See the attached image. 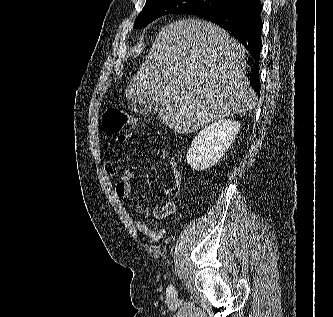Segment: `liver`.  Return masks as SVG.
I'll list each match as a JSON object with an SVG mask.
<instances>
[{"mask_svg": "<svg viewBox=\"0 0 333 317\" xmlns=\"http://www.w3.org/2000/svg\"><path fill=\"white\" fill-rule=\"evenodd\" d=\"M245 48L222 28L199 19L166 25L126 90L160 100L158 116L179 134L255 108L245 76Z\"/></svg>", "mask_w": 333, "mask_h": 317, "instance_id": "obj_1", "label": "liver"}]
</instances>
